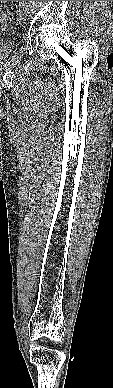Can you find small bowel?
I'll return each mask as SVG.
<instances>
[{
  "label": "small bowel",
  "instance_id": "c3829d8e",
  "mask_svg": "<svg viewBox=\"0 0 113 388\" xmlns=\"http://www.w3.org/2000/svg\"><path fill=\"white\" fill-rule=\"evenodd\" d=\"M3 17H4V13H3V10H2L1 5H0V21H1V19H3Z\"/></svg>",
  "mask_w": 113,
  "mask_h": 388
}]
</instances>
